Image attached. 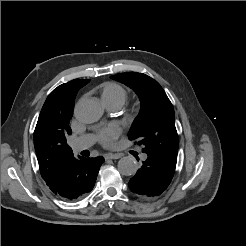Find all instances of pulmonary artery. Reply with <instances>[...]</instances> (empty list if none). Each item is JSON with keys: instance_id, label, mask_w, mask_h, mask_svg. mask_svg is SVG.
I'll return each mask as SVG.
<instances>
[{"instance_id": "pulmonary-artery-1", "label": "pulmonary artery", "mask_w": 246, "mask_h": 246, "mask_svg": "<svg viewBox=\"0 0 246 246\" xmlns=\"http://www.w3.org/2000/svg\"><path fill=\"white\" fill-rule=\"evenodd\" d=\"M111 110H118L119 106H110ZM94 142V139L91 135H83L73 140L72 148L74 151H82L88 149ZM141 158L145 160L147 158L146 154H142Z\"/></svg>"}]
</instances>
